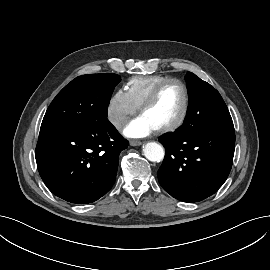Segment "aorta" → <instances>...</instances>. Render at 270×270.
Wrapping results in <instances>:
<instances>
[{
    "mask_svg": "<svg viewBox=\"0 0 270 270\" xmlns=\"http://www.w3.org/2000/svg\"><path fill=\"white\" fill-rule=\"evenodd\" d=\"M144 156L152 162L163 160L165 152L163 147L156 142H148L143 147Z\"/></svg>",
    "mask_w": 270,
    "mask_h": 270,
    "instance_id": "obj_1",
    "label": "aorta"
}]
</instances>
